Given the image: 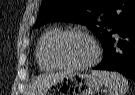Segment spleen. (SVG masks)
I'll list each match as a JSON object with an SVG mask.
<instances>
[{"label":"spleen","mask_w":135,"mask_h":95,"mask_svg":"<svg viewBox=\"0 0 135 95\" xmlns=\"http://www.w3.org/2000/svg\"><path fill=\"white\" fill-rule=\"evenodd\" d=\"M92 74L100 78L101 82L108 89L110 95H125L128 90L127 79L118 73L108 71H92Z\"/></svg>","instance_id":"obj_1"}]
</instances>
